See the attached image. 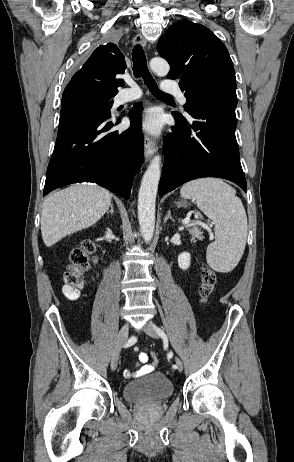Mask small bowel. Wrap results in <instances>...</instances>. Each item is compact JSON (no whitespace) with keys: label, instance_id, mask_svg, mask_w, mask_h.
I'll return each instance as SVG.
<instances>
[{"label":"small bowel","instance_id":"1","mask_svg":"<svg viewBox=\"0 0 294 462\" xmlns=\"http://www.w3.org/2000/svg\"><path fill=\"white\" fill-rule=\"evenodd\" d=\"M156 365L148 363V355L145 352L138 354V362L134 371L125 370L126 378L140 377L154 371Z\"/></svg>","mask_w":294,"mask_h":462}]
</instances>
